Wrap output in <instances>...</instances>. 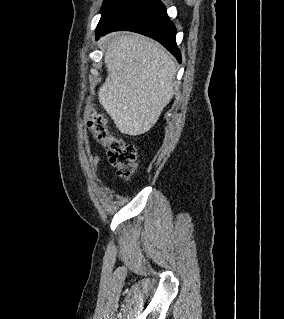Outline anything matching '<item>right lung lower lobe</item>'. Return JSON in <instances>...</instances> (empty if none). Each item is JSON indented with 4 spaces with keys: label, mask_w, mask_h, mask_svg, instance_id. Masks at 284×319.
Here are the masks:
<instances>
[{
    "label": "right lung lower lobe",
    "mask_w": 284,
    "mask_h": 319,
    "mask_svg": "<svg viewBox=\"0 0 284 319\" xmlns=\"http://www.w3.org/2000/svg\"><path fill=\"white\" fill-rule=\"evenodd\" d=\"M118 30L134 31L157 40L181 62L175 25L160 0H138L105 28L97 30L96 38Z\"/></svg>",
    "instance_id": "1"
}]
</instances>
